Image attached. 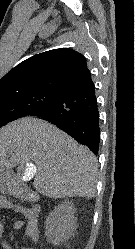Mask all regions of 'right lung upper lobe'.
<instances>
[{"mask_svg":"<svg viewBox=\"0 0 135 249\" xmlns=\"http://www.w3.org/2000/svg\"><path fill=\"white\" fill-rule=\"evenodd\" d=\"M92 82L86 58L70 48L34 55L0 79V96L30 91L64 92Z\"/></svg>","mask_w":135,"mask_h":249,"instance_id":"1","label":"right lung upper lobe"}]
</instances>
